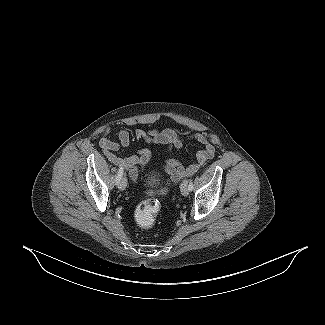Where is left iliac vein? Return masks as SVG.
Here are the masks:
<instances>
[{
  "instance_id": "4c4485c4",
  "label": "left iliac vein",
  "mask_w": 325,
  "mask_h": 325,
  "mask_svg": "<svg viewBox=\"0 0 325 325\" xmlns=\"http://www.w3.org/2000/svg\"><path fill=\"white\" fill-rule=\"evenodd\" d=\"M180 191H181L182 195H184V196H187L189 194L190 190H189V186H188V180H184L181 183Z\"/></svg>"
}]
</instances>
